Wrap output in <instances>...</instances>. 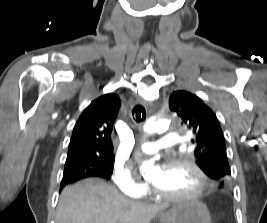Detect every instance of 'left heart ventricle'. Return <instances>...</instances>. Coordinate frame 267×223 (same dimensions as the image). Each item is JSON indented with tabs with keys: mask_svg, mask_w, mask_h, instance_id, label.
Instances as JSON below:
<instances>
[{
	"mask_svg": "<svg viewBox=\"0 0 267 223\" xmlns=\"http://www.w3.org/2000/svg\"><path fill=\"white\" fill-rule=\"evenodd\" d=\"M158 170L151 175V181L156 189L165 194L184 195L193 192L198 185V180L186 165L162 168L159 179H155Z\"/></svg>",
	"mask_w": 267,
	"mask_h": 223,
	"instance_id": "b2bd125f",
	"label": "left heart ventricle"
}]
</instances>
